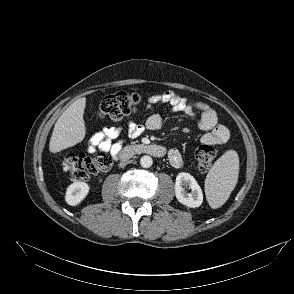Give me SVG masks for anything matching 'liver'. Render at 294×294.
I'll return each instance as SVG.
<instances>
[{"label": "liver", "instance_id": "1", "mask_svg": "<svg viewBox=\"0 0 294 294\" xmlns=\"http://www.w3.org/2000/svg\"><path fill=\"white\" fill-rule=\"evenodd\" d=\"M85 104V97L76 100L58 118L49 143L51 153L72 147L84 139L86 134L83 119Z\"/></svg>", "mask_w": 294, "mask_h": 294}]
</instances>
